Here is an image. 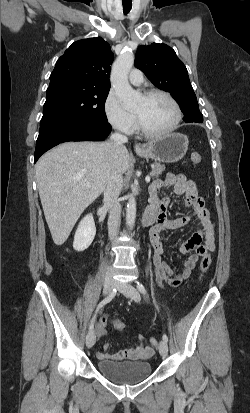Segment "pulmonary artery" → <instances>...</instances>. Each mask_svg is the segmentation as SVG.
<instances>
[{"instance_id":"obj_1","label":"pulmonary artery","mask_w":250,"mask_h":413,"mask_svg":"<svg viewBox=\"0 0 250 413\" xmlns=\"http://www.w3.org/2000/svg\"><path fill=\"white\" fill-rule=\"evenodd\" d=\"M128 78H129V82L136 86L141 85L143 82V74L137 68H134L130 71Z\"/></svg>"}]
</instances>
